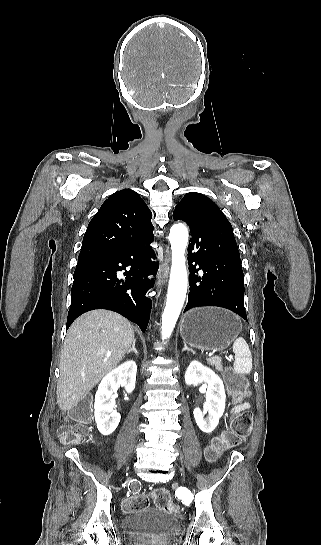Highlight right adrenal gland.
<instances>
[{
	"label": "right adrenal gland",
	"instance_id": "1",
	"mask_svg": "<svg viewBox=\"0 0 321 545\" xmlns=\"http://www.w3.org/2000/svg\"><path fill=\"white\" fill-rule=\"evenodd\" d=\"M135 345H136V339H133L132 347H131V349H128L127 355H129V353H135V355H138V351H137Z\"/></svg>",
	"mask_w": 321,
	"mask_h": 545
}]
</instances>
